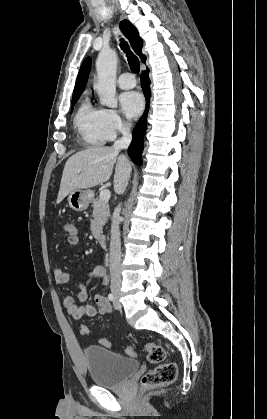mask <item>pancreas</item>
<instances>
[{
	"label": "pancreas",
	"mask_w": 267,
	"mask_h": 419,
	"mask_svg": "<svg viewBox=\"0 0 267 419\" xmlns=\"http://www.w3.org/2000/svg\"><path fill=\"white\" fill-rule=\"evenodd\" d=\"M109 216V205L101 199H95L93 201V220L91 221L90 229L96 239L100 238L102 227L107 222Z\"/></svg>",
	"instance_id": "cf45deb5"
}]
</instances>
